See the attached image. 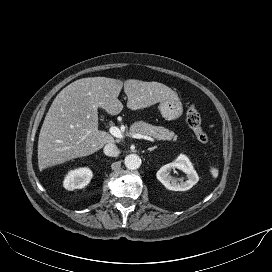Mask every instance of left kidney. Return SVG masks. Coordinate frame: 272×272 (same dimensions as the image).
Returning <instances> with one entry per match:
<instances>
[{
	"label": "left kidney",
	"mask_w": 272,
	"mask_h": 272,
	"mask_svg": "<svg viewBox=\"0 0 272 272\" xmlns=\"http://www.w3.org/2000/svg\"><path fill=\"white\" fill-rule=\"evenodd\" d=\"M179 169L186 174L185 182H178L170 173L172 169ZM157 179L169 190L186 191L192 188L199 180L192 163L187 156L181 154L173 162L162 166L157 174Z\"/></svg>",
	"instance_id": "obj_1"
}]
</instances>
